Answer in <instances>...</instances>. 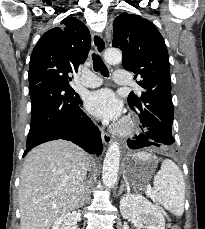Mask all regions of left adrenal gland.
Here are the masks:
<instances>
[{"label":"left adrenal gland","instance_id":"a2214340","mask_svg":"<svg viewBox=\"0 0 205 229\" xmlns=\"http://www.w3.org/2000/svg\"><path fill=\"white\" fill-rule=\"evenodd\" d=\"M124 187H125V184H124V183H122V185L120 186L119 193H122V191L124 190Z\"/></svg>","mask_w":205,"mask_h":229}]
</instances>
